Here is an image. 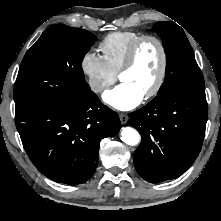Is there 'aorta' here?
<instances>
[{
    "label": "aorta",
    "mask_w": 221,
    "mask_h": 221,
    "mask_svg": "<svg viewBox=\"0 0 221 221\" xmlns=\"http://www.w3.org/2000/svg\"><path fill=\"white\" fill-rule=\"evenodd\" d=\"M121 140L130 146H135L140 141V135L137 130L132 127H124L121 129Z\"/></svg>",
    "instance_id": "obj_1"
}]
</instances>
